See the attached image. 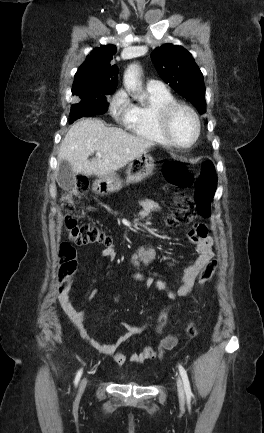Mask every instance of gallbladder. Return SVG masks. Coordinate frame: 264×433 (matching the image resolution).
<instances>
[{
	"mask_svg": "<svg viewBox=\"0 0 264 433\" xmlns=\"http://www.w3.org/2000/svg\"><path fill=\"white\" fill-rule=\"evenodd\" d=\"M56 180L63 190H69L75 185L76 175L67 160L59 162Z\"/></svg>",
	"mask_w": 264,
	"mask_h": 433,
	"instance_id": "1",
	"label": "gallbladder"
}]
</instances>
